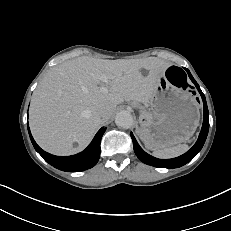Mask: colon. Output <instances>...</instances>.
<instances>
[{"label":"colon","mask_w":231,"mask_h":231,"mask_svg":"<svg viewBox=\"0 0 231 231\" xmlns=\"http://www.w3.org/2000/svg\"><path fill=\"white\" fill-rule=\"evenodd\" d=\"M168 75L169 79L176 87L181 89H186L188 87L186 77L182 70L176 67H170L168 69Z\"/></svg>","instance_id":"obj_1"}]
</instances>
